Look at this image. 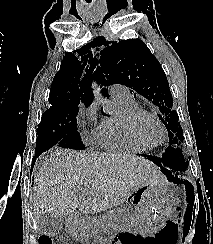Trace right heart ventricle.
Instances as JSON below:
<instances>
[{
    "label": "right heart ventricle",
    "mask_w": 213,
    "mask_h": 244,
    "mask_svg": "<svg viewBox=\"0 0 213 244\" xmlns=\"http://www.w3.org/2000/svg\"><path fill=\"white\" fill-rule=\"evenodd\" d=\"M117 112L104 118L95 132V142L104 150L118 153H142L149 148L134 141L127 133L125 118L140 109L134 98H113Z\"/></svg>",
    "instance_id": "right-heart-ventricle-1"
}]
</instances>
